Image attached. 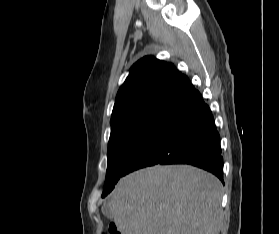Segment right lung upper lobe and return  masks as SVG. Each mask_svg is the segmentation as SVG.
<instances>
[{"label":"right lung upper lobe","mask_w":279,"mask_h":234,"mask_svg":"<svg viewBox=\"0 0 279 234\" xmlns=\"http://www.w3.org/2000/svg\"><path fill=\"white\" fill-rule=\"evenodd\" d=\"M193 88L172 63L146 56L137 61L120 87L112 118L150 106L171 107Z\"/></svg>","instance_id":"1"}]
</instances>
